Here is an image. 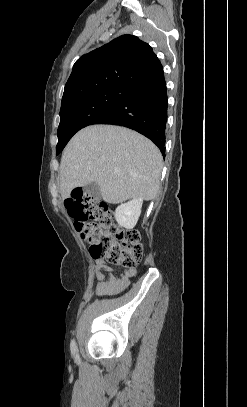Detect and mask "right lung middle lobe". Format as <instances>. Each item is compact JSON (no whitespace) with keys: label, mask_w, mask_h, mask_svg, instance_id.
<instances>
[{"label":"right lung middle lobe","mask_w":247,"mask_h":407,"mask_svg":"<svg viewBox=\"0 0 247 407\" xmlns=\"http://www.w3.org/2000/svg\"><path fill=\"white\" fill-rule=\"evenodd\" d=\"M133 91L130 87H110L61 106L56 154L64 149L76 132L93 124Z\"/></svg>","instance_id":"right-lung-middle-lobe-1"}]
</instances>
